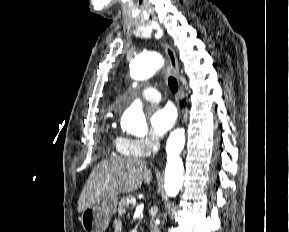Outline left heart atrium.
Here are the masks:
<instances>
[{
	"label": "left heart atrium",
	"instance_id": "left-heart-atrium-1",
	"mask_svg": "<svg viewBox=\"0 0 289 232\" xmlns=\"http://www.w3.org/2000/svg\"><path fill=\"white\" fill-rule=\"evenodd\" d=\"M176 121V111L171 105L156 107L150 115L151 131L158 137L164 136Z\"/></svg>",
	"mask_w": 289,
	"mask_h": 232
}]
</instances>
